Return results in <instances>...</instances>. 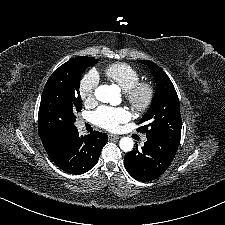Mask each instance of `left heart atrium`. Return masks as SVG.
<instances>
[{
  "mask_svg": "<svg viewBox=\"0 0 225 225\" xmlns=\"http://www.w3.org/2000/svg\"><path fill=\"white\" fill-rule=\"evenodd\" d=\"M131 113L124 107L102 106L93 113V121L98 126L108 130L117 131L120 125L130 120Z\"/></svg>",
  "mask_w": 225,
  "mask_h": 225,
  "instance_id": "obj_1",
  "label": "left heart atrium"
}]
</instances>
